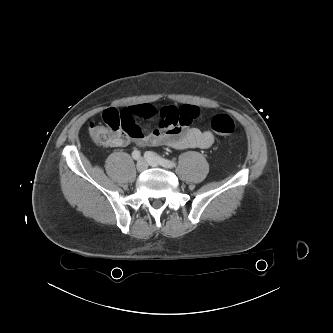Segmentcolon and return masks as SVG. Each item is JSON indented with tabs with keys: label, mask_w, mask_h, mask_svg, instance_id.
Returning a JSON list of instances; mask_svg holds the SVG:
<instances>
[{
	"label": "colon",
	"mask_w": 333,
	"mask_h": 333,
	"mask_svg": "<svg viewBox=\"0 0 333 333\" xmlns=\"http://www.w3.org/2000/svg\"><path fill=\"white\" fill-rule=\"evenodd\" d=\"M103 124H91L89 134L94 142L111 146L119 132L131 134L136 131L135 118L128 111L107 109L102 113ZM211 129L222 136L232 135L235 131L234 120L226 114H217L210 121Z\"/></svg>",
	"instance_id": "obj_1"
}]
</instances>
